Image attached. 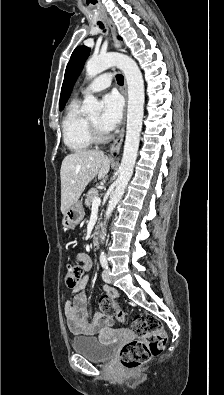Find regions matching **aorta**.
I'll return each mask as SVG.
<instances>
[{
  "instance_id": "1",
  "label": "aorta",
  "mask_w": 224,
  "mask_h": 395,
  "mask_svg": "<svg viewBox=\"0 0 224 395\" xmlns=\"http://www.w3.org/2000/svg\"><path fill=\"white\" fill-rule=\"evenodd\" d=\"M113 66H116L124 73L127 82V126L124 150L119 167V176L116 180L115 191L108 203L105 213V222L103 225L106 224V220L109 219L117 203L122 198L126 186L132 176L139 148L145 100L142 73L136 62L127 55L108 53L105 55L92 57L86 63V75L88 78H93ZM101 109L102 104L93 95H88L84 99V113L88 115H98L101 112ZM105 236L106 230L103 227L102 234L100 235L101 241H104Z\"/></svg>"
}]
</instances>
